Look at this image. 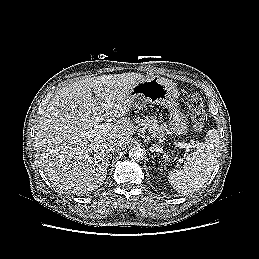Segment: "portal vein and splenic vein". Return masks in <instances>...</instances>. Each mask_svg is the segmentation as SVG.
Returning a JSON list of instances; mask_svg holds the SVG:
<instances>
[{
  "label": "portal vein and splenic vein",
  "instance_id": "18ae733b",
  "mask_svg": "<svg viewBox=\"0 0 259 259\" xmlns=\"http://www.w3.org/2000/svg\"><path fill=\"white\" fill-rule=\"evenodd\" d=\"M112 124L110 123H102L101 125L97 126L95 129H91L88 132H86L85 134L88 136H93L98 132H107L110 130ZM179 146L181 148H196V149H200L202 147L201 143H194L193 140L190 141V143H179Z\"/></svg>",
  "mask_w": 259,
  "mask_h": 259
}]
</instances>
